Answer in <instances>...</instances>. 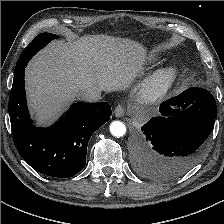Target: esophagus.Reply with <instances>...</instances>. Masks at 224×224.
I'll use <instances>...</instances> for the list:
<instances>
[{
    "label": "esophagus",
    "instance_id": "obj_1",
    "mask_svg": "<svg viewBox=\"0 0 224 224\" xmlns=\"http://www.w3.org/2000/svg\"><path fill=\"white\" fill-rule=\"evenodd\" d=\"M115 116L116 117H122L125 113V108L123 105L119 104L116 106L115 110H114Z\"/></svg>",
    "mask_w": 224,
    "mask_h": 224
}]
</instances>
